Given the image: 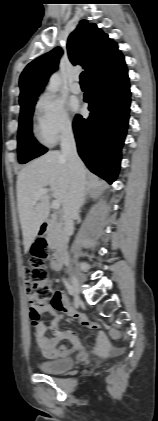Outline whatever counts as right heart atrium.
Here are the masks:
<instances>
[{
	"mask_svg": "<svg viewBox=\"0 0 158 421\" xmlns=\"http://www.w3.org/2000/svg\"><path fill=\"white\" fill-rule=\"evenodd\" d=\"M37 126L43 139L55 143L72 131L70 115L62 101L51 94L39 97L35 106Z\"/></svg>",
	"mask_w": 158,
	"mask_h": 421,
	"instance_id": "right-heart-atrium-1",
	"label": "right heart atrium"
}]
</instances>
